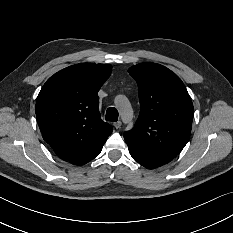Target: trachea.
Returning <instances> with one entry per match:
<instances>
[{"label": "trachea", "instance_id": "obj_1", "mask_svg": "<svg viewBox=\"0 0 233 233\" xmlns=\"http://www.w3.org/2000/svg\"><path fill=\"white\" fill-rule=\"evenodd\" d=\"M106 121L116 122L118 120V111L114 107H109L105 115Z\"/></svg>", "mask_w": 233, "mask_h": 233}]
</instances>
